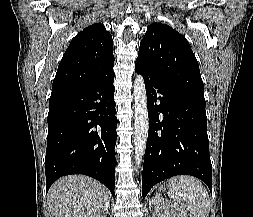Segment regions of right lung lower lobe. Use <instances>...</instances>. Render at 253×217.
<instances>
[{
  "label": "right lung lower lobe",
  "instance_id": "1",
  "mask_svg": "<svg viewBox=\"0 0 253 217\" xmlns=\"http://www.w3.org/2000/svg\"><path fill=\"white\" fill-rule=\"evenodd\" d=\"M114 72L80 88L51 95L45 158L47 190L61 176L84 174L114 196L117 133Z\"/></svg>",
  "mask_w": 253,
  "mask_h": 217
}]
</instances>
